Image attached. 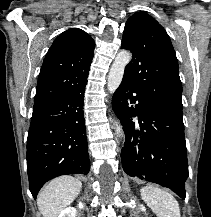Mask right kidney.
Here are the masks:
<instances>
[{"label":"right kidney","mask_w":211,"mask_h":217,"mask_svg":"<svg viewBox=\"0 0 211 217\" xmlns=\"http://www.w3.org/2000/svg\"><path fill=\"white\" fill-rule=\"evenodd\" d=\"M77 210L74 207H67L59 214L58 217H76Z\"/></svg>","instance_id":"right-kidney-1"}]
</instances>
